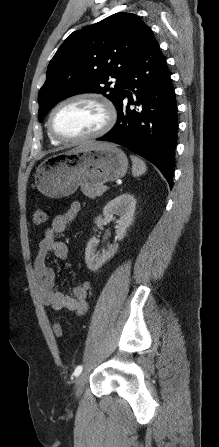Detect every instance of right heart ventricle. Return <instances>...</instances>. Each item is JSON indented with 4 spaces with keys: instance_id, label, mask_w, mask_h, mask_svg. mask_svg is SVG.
Returning a JSON list of instances; mask_svg holds the SVG:
<instances>
[{
    "instance_id": "1",
    "label": "right heart ventricle",
    "mask_w": 219,
    "mask_h": 447,
    "mask_svg": "<svg viewBox=\"0 0 219 447\" xmlns=\"http://www.w3.org/2000/svg\"><path fill=\"white\" fill-rule=\"evenodd\" d=\"M49 138H50V140H51V142H52L53 144H58V143H59V141L56 140L55 138H53L50 134H49Z\"/></svg>"
}]
</instances>
